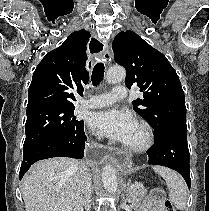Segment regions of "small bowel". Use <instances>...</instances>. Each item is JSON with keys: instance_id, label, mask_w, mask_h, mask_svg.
I'll use <instances>...</instances> for the list:
<instances>
[{"instance_id": "small-bowel-1", "label": "small bowel", "mask_w": 209, "mask_h": 211, "mask_svg": "<svg viewBox=\"0 0 209 211\" xmlns=\"http://www.w3.org/2000/svg\"><path fill=\"white\" fill-rule=\"evenodd\" d=\"M164 201V193L161 190H154L145 199L139 211H164Z\"/></svg>"}]
</instances>
